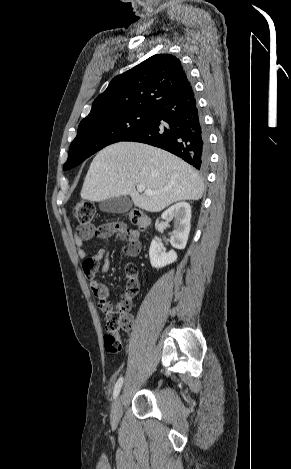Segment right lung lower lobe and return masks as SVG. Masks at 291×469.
I'll return each instance as SVG.
<instances>
[{"label":"right lung lower lobe","instance_id":"right-lung-lower-lobe-1","mask_svg":"<svg viewBox=\"0 0 291 469\" xmlns=\"http://www.w3.org/2000/svg\"><path fill=\"white\" fill-rule=\"evenodd\" d=\"M122 141L150 144L205 170L209 142L192 86L173 92L153 110L148 122Z\"/></svg>","mask_w":291,"mask_h":469}]
</instances>
